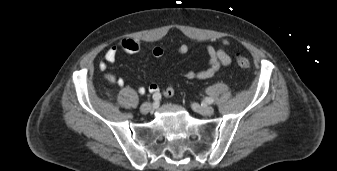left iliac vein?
Returning <instances> with one entry per match:
<instances>
[{"mask_svg": "<svg viewBox=\"0 0 337 171\" xmlns=\"http://www.w3.org/2000/svg\"><path fill=\"white\" fill-rule=\"evenodd\" d=\"M192 108L195 112L204 115V116H210L214 113V109L211 106H200L196 103L192 105Z\"/></svg>", "mask_w": 337, "mask_h": 171, "instance_id": "4c4485c4", "label": "left iliac vein"}]
</instances>
